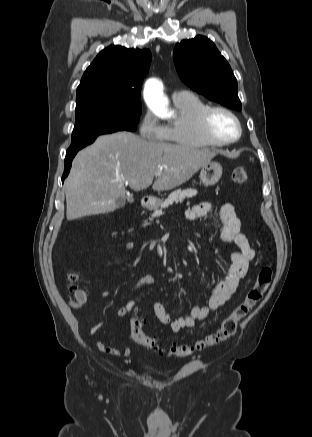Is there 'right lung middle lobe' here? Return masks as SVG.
Instances as JSON below:
<instances>
[{
    "label": "right lung middle lobe",
    "mask_w": 312,
    "mask_h": 437,
    "mask_svg": "<svg viewBox=\"0 0 312 437\" xmlns=\"http://www.w3.org/2000/svg\"><path fill=\"white\" fill-rule=\"evenodd\" d=\"M76 124L67 154L78 152L94 142L97 136L117 131H135L141 104L120 106L91 104L76 107Z\"/></svg>",
    "instance_id": "obj_1"
}]
</instances>
